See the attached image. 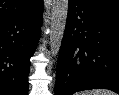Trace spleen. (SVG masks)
<instances>
[{
    "mask_svg": "<svg viewBox=\"0 0 119 95\" xmlns=\"http://www.w3.org/2000/svg\"><path fill=\"white\" fill-rule=\"evenodd\" d=\"M76 95H116V94L110 90L96 89V90L80 92Z\"/></svg>",
    "mask_w": 119,
    "mask_h": 95,
    "instance_id": "spleen-1",
    "label": "spleen"
}]
</instances>
